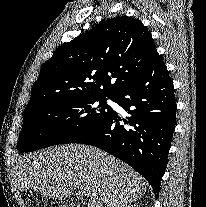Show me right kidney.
<instances>
[{
    "label": "right kidney",
    "instance_id": "1",
    "mask_svg": "<svg viewBox=\"0 0 206 207\" xmlns=\"http://www.w3.org/2000/svg\"><path fill=\"white\" fill-rule=\"evenodd\" d=\"M126 207H138V205L137 204H128V205H126Z\"/></svg>",
    "mask_w": 206,
    "mask_h": 207
}]
</instances>
